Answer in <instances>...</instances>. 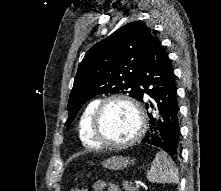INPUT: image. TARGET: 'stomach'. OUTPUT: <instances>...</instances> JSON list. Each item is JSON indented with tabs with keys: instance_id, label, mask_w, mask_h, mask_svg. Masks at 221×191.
<instances>
[{
	"instance_id": "1",
	"label": "stomach",
	"mask_w": 221,
	"mask_h": 191,
	"mask_svg": "<svg viewBox=\"0 0 221 191\" xmlns=\"http://www.w3.org/2000/svg\"><path fill=\"white\" fill-rule=\"evenodd\" d=\"M135 159L123 156H113L105 160L102 165L106 168L118 170L127 167L130 164H134Z\"/></svg>"
}]
</instances>
